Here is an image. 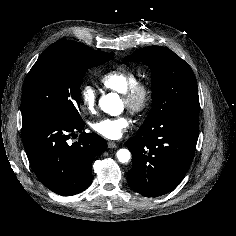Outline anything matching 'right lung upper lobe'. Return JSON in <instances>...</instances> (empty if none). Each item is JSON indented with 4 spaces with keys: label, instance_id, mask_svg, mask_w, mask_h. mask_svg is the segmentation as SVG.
Instances as JSON below:
<instances>
[{
    "label": "right lung upper lobe",
    "instance_id": "right-lung-upper-lobe-1",
    "mask_svg": "<svg viewBox=\"0 0 236 236\" xmlns=\"http://www.w3.org/2000/svg\"><path fill=\"white\" fill-rule=\"evenodd\" d=\"M72 42L75 44L77 49L80 50L83 53H93V52L97 51V50H93V49H91V48H89V47H87V46H85L81 43L74 42V41H72Z\"/></svg>",
    "mask_w": 236,
    "mask_h": 236
}]
</instances>
